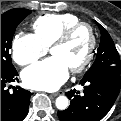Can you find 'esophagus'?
<instances>
[{"mask_svg":"<svg viewBox=\"0 0 121 121\" xmlns=\"http://www.w3.org/2000/svg\"><path fill=\"white\" fill-rule=\"evenodd\" d=\"M59 94H60L59 92L51 93L50 96H51V97H56V96H58Z\"/></svg>","mask_w":121,"mask_h":121,"instance_id":"1","label":"esophagus"}]
</instances>
